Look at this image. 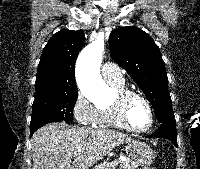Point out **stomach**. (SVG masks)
Masks as SVG:
<instances>
[{"label":"stomach","mask_w":200,"mask_h":169,"mask_svg":"<svg viewBox=\"0 0 200 169\" xmlns=\"http://www.w3.org/2000/svg\"><path fill=\"white\" fill-rule=\"evenodd\" d=\"M129 156L137 166H148L155 158L153 150L144 142L133 141L128 144Z\"/></svg>","instance_id":"obj_1"}]
</instances>
